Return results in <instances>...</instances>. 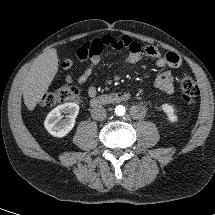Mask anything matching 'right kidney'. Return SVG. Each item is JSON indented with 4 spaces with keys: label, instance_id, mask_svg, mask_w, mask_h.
<instances>
[{
    "label": "right kidney",
    "instance_id": "1",
    "mask_svg": "<svg viewBox=\"0 0 215 215\" xmlns=\"http://www.w3.org/2000/svg\"><path fill=\"white\" fill-rule=\"evenodd\" d=\"M78 113L79 106L75 103L59 105L47 115L44 126L52 136L64 137L73 129ZM63 114H67L65 118Z\"/></svg>",
    "mask_w": 215,
    "mask_h": 215
}]
</instances>
